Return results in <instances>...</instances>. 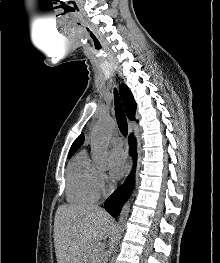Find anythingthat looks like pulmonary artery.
Here are the masks:
<instances>
[{
  "instance_id": "pulmonary-artery-1",
  "label": "pulmonary artery",
  "mask_w": 220,
  "mask_h": 263,
  "mask_svg": "<svg viewBox=\"0 0 220 263\" xmlns=\"http://www.w3.org/2000/svg\"><path fill=\"white\" fill-rule=\"evenodd\" d=\"M110 142H111L112 146H114L116 148H120L123 145V141L119 136L113 137Z\"/></svg>"
}]
</instances>
